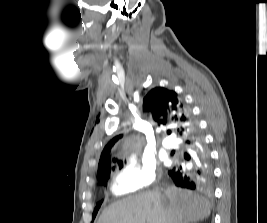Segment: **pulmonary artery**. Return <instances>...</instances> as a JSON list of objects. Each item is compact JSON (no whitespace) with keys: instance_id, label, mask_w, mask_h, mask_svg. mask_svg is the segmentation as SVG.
<instances>
[{"instance_id":"pulmonary-artery-1","label":"pulmonary artery","mask_w":267,"mask_h":223,"mask_svg":"<svg viewBox=\"0 0 267 223\" xmlns=\"http://www.w3.org/2000/svg\"><path fill=\"white\" fill-rule=\"evenodd\" d=\"M162 145L166 149H171V148L176 147V144L172 140H170V139H164L162 141Z\"/></svg>"}]
</instances>
